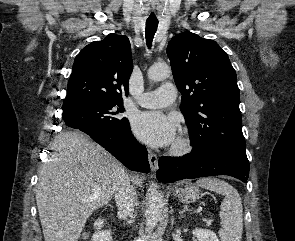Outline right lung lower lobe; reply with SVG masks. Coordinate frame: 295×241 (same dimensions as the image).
Segmentation results:
<instances>
[{"mask_svg": "<svg viewBox=\"0 0 295 241\" xmlns=\"http://www.w3.org/2000/svg\"><path fill=\"white\" fill-rule=\"evenodd\" d=\"M75 129L88 134L130 170L150 172L147 150L134 138L130 128L123 132L96 125L80 126Z\"/></svg>", "mask_w": 295, "mask_h": 241, "instance_id": "obj_1", "label": "right lung lower lobe"}]
</instances>
